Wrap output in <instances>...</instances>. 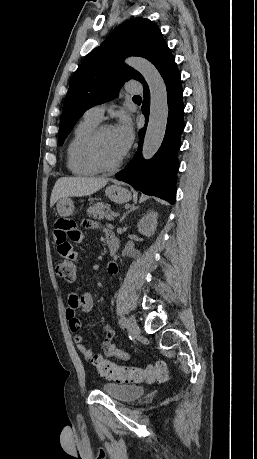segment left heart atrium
I'll return each instance as SVG.
<instances>
[{
    "label": "left heart atrium",
    "instance_id": "left-heart-atrium-1",
    "mask_svg": "<svg viewBox=\"0 0 257 459\" xmlns=\"http://www.w3.org/2000/svg\"><path fill=\"white\" fill-rule=\"evenodd\" d=\"M114 136L122 154H125L134 139L132 122L128 117H122L113 128Z\"/></svg>",
    "mask_w": 257,
    "mask_h": 459
}]
</instances>
